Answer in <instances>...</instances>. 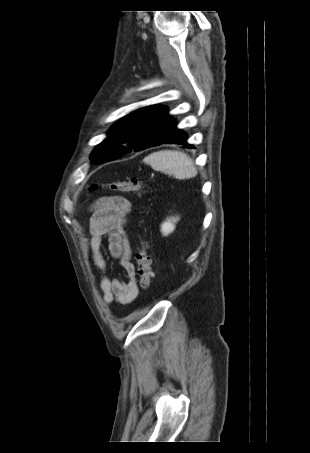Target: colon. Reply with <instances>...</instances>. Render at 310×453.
<instances>
[{"mask_svg": "<svg viewBox=\"0 0 310 453\" xmlns=\"http://www.w3.org/2000/svg\"><path fill=\"white\" fill-rule=\"evenodd\" d=\"M96 188L97 185L92 186V189ZM104 188L115 192H140L143 189V182L137 178H130L105 184ZM148 249V242L142 240L136 255L139 285L143 289H147L152 282V261L148 254Z\"/></svg>", "mask_w": 310, "mask_h": 453, "instance_id": "1", "label": "colon"}]
</instances>
